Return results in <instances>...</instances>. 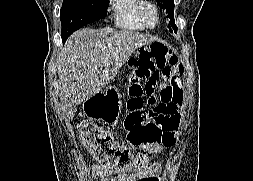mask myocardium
I'll list each match as a JSON object with an SVG mask.
<instances>
[{"label": "myocardium", "mask_w": 253, "mask_h": 181, "mask_svg": "<svg viewBox=\"0 0 253 181\" xmlns=\"http://www.w3.org/2000/svg\"><path fill=\"white\" fill-rule=\"evenodd\" d=\"M152 13L154 15L155 21L151 24L148 20V14ZM140 21L143 26L147 29H154L159 25L160 22V11L154 2L145 0L139 10Z\"/></svg>", "instance_id": "1"}]
</instances>
